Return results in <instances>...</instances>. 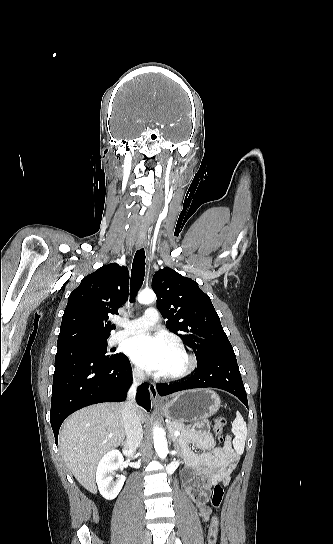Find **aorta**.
Wrapping results in <instances>:
<instances>
[{"instance_id": "1", "label": "aorta", "mask_w": 333, "mask_h": 544, "mask_svg": "<svg viewBox=\"0 0 333 544\" xmlns=\"http://www.w3.org/2000/svg\"><path fill=\"white\" fill-rule=\"evenodd\" d=\"M156 298L154 291L145 289L138 295V302L141 304L152 303ZM154 448L161 459H165L168 454V445L163 429L154 427L153 429Z\"/></svg>"}]
</instances>
